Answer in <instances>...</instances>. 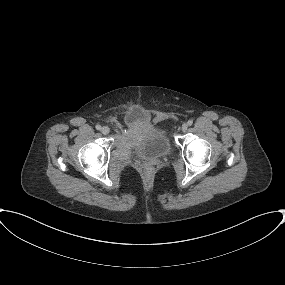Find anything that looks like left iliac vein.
Here are the masks:
<instances>
[{
    "instance_id": "4c4485c4",
    "label": "left iliac vein",
    "mask_w": 285,
    "mask_h": 285,
    "mask_svg": "<svg viewBox=\"0 0 285 285\" xmlns=\"http://www.w3.org/2000/svg\"><path fill=\"white\" fill-rule=\"evenodd\" d=\"M188 129V125L186 124V123H184L183 125H182V131H186Z\"/></svg>"
}]
</instances>
